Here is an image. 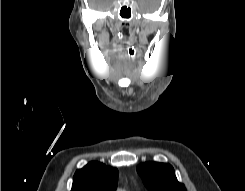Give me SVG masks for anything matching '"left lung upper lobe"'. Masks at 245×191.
<instances>
[{
  "mask_svg": "<svg viewBox=\"0 0 245 191\" xmlns=\"http://www.w3.org/2000/svg\"><path fill=\"white\" fill-rule=\"evenodd\" d=\"M137 172L149 191H187L170 164L146 162L137 167Z\"/></svg>",
  "mask_w": 245,
  "mask_h": 191,
  "instance_id": "5c2ea615",
  "label": "left lung upper lobe"
}]
</instances>
